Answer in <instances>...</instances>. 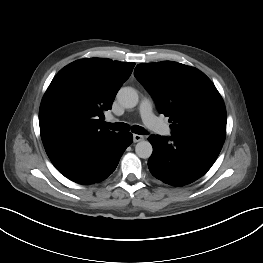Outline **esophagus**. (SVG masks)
Masks as SVG:
<instances>
[{"mask_svg": "<svg viewBox=\"0 0 263 263\" xmlns=\"http://www.w3.org/2000/svg\"><path fill=\"white\" fill-rule=\"evenodd\" d=\"M144 139L143 136L141 135H138V134H133V141L136 143V142H139V141H142Z\"/></svg>", "mask_w": 263, "mask_h": 263, "instance_id": "34e87169", "label": "esophagus"}]
</instances>
